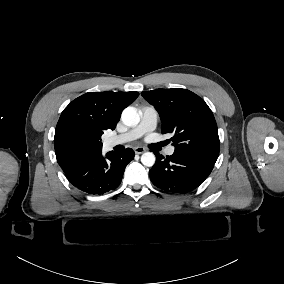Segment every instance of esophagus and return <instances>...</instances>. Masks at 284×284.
I'll list each match as a JSON object with an SVG mask.
<instances>
[{
    "mask_svg": "<svg viewBox=\"0 0 284 284\" xmlns=\"http://www.w3.org/2000/svg\"><path fill=\"white\" fill-rule=\"evenodd\" d=\"M133 150L136 154H142L146 151V149L142 146L134 147Z\"/></svg>",
    "mask_w": 284,
    "mask_h": 284,
    "instance_id": "esophagus-1",
    "label": "esophagus"
}]
</instances>
